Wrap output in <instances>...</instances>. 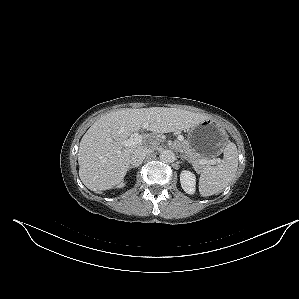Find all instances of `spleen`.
Returning <instances> with one entry per match:
<instances>
[{"mask_svg":"<svg viewBox=\"0 0 299 299\" xmlns=\"http://www.w3.org/2000/svg\"><path fill=\"white\" fill-rule=\"evenodd\" d=\"M238 152L234 143L230 142L224 149L222 162L213 167L206 166L199 178V192L202 196H211L222 192L236 174Z\"/></svg>","mask_w":299,"mask_h":299,"instance_id":"3e777b00","label":"spleen"}]
</instances>
